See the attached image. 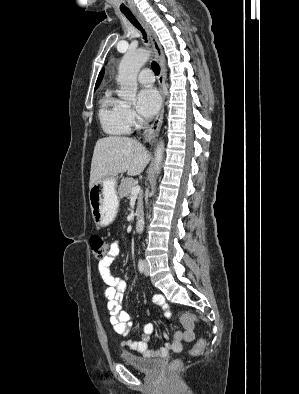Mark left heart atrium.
<instances>
[{
	"mask_svg": "<svg viewBox=\"0 0 299 394\" xmlns=\"http://www.w3.org/2000/svg\"><path fill=\"white\" fill-rule=\"evenodd\" d=\"M159 107L160 97L154 88L147 87L139 91L137 94L136 109L141 116L151 118L156 114Z\"/></svg>",
	"mask_w": 299,
	"mask_h": 394,
	"instance_id": "left-heart-atrium-1",
	"label": "left heart atrium"
}]
</instances>
